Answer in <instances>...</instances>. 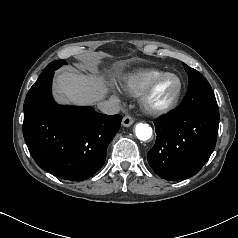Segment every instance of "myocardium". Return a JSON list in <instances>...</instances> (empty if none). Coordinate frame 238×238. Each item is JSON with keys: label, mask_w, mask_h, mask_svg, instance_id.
I'll return each mask as SVG.
<instances>
[{"label": "myocardium", "mask_w": 238, "mask_h": 238, "mask_svg": "<svg viewBox=\"0 0 238 238\" xmlns=\"http://www.w3.org/2000/svg\"><path fill=\"white\" fill-rule=\"evenodd\" d=\"M166 77H174L177 79L178 81L177 91L172 96V98L167 102L162 104L154 103L152 101L153 93L158 83ZM183 87H184L183 80L178 74L172 72H164L159 76H157L156 78H154L150 82V84L146 87V89L143 91V93L140 95L139 99L140 107L143 110V112L151 116H161L167 114L178 105L183 92Z\"/></svg>", "instance_id": "1"}]
</instances>
